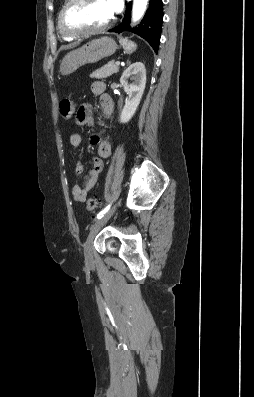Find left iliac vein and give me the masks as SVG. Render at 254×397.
I'll return each mask as SVG.
<instances>
[{
  "mask_svg": "<svg viewBox=\"0 0 254 397\" xmlns=\"http://www.w3.org/2000/svg\"><path fill=\"white\" fill-rule=\"evenodd\" d=\"M118 203L116 205H114L101 219H99L91 227L89 235H88V237L86 239V242L84 244V255H85V259H86L87 262H91L92 259H93L91 247H92V243H93V240H94L96 234L99 232V230L106 224V222L113 215V213L116 210V207H117Z\"/></svg>",
  "mask_w": 254,
  "mask_h": 397,
  "instance_id": "1",
  "label": "left iliac vein"
}]
</instances>
